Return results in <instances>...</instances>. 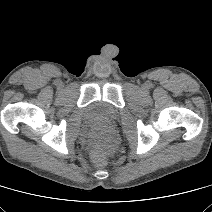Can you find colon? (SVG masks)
<instances>
[{"label": "colon", "instance_id": "colon-1", "mask_svg": "<svg viewBox=\"0 0 212 212\" xmlns=\"http://www.w3.org/2000/svg\"><path fill=\"white\" fill-rule=\"evenodd\" d=\"M92 152L97 156V157H102L104 152H105V145L103 142H97L93 144L92 146Z\"/></svg>", "mask_w": 212, "mask_h": 212}]
</instances>
